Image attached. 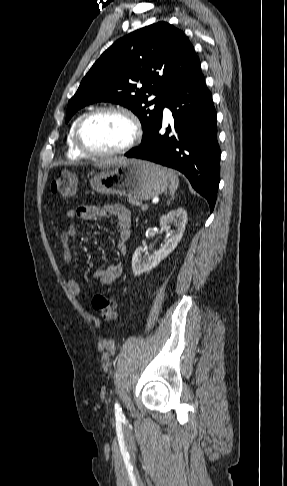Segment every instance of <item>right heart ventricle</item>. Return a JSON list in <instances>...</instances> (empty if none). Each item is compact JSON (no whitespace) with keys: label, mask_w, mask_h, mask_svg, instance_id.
Returning a JSON list of instances; mask_svg holds the SVG:
<instances>
[{"label":"right heart ventricle","mask_w":287,"mask_h":486,"mask_svg":"<svg viewBox=\"0 0 287 486\" xmlns=\"http://www.w3.org/2000/svg\"><path fill=\"white\" fill-rule=\"evenodd\" d=\"M80 118V117H79ZM79 118H77L71 125L70 130L67 135V155L73 159H82L85 158V155L82 154L75 146L74 143V129L76 123L78 122Z\"/></svg>","instance_id":"right-heart-ventricle-1"}]
</instances>
